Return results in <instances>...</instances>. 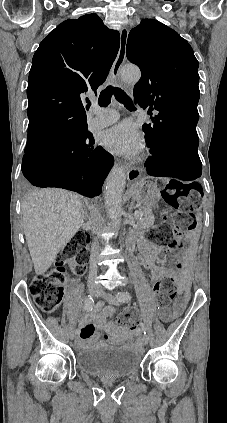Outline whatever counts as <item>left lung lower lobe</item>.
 Masks as SVG:
<instances>
[{
    "mask_svg": "<svg viewBox=\"0 0 227 423\" xmlns=\"http://www.w3.org/2000/svg\"><path fill=\"white\" fill-rule=\"evenodd\" d=\"M198 121L166 120L143 127L152 156L147 172L151 176H168L181 180H195L202 174L198 155Z\"/></svg>",
    "mask_w": 227,
    "mask_h": 423,
    "instance_id": "1",
    "label": "left lung lower lobe"
}]
</instances>
